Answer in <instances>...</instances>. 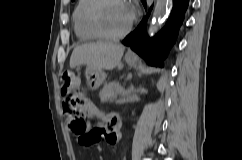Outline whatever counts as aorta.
I'll return each instance as SVG.
<instances>
[{
    "label": "aorta",
    "instance_id": "762f6f07",
    "mask_svg": "<svg viewBox=\"0 0 242 160\" xmlns=\"http://www.w3.org/2000/svg\"><path fill=\"white\" fill-rule=\"evenodd\" d=\"M171 6L172 0H156L153 17L149 28L151 33L157 30Z\"/></svg>",
    "mask_w": 242,
    "mask_h": 160
}]
</instances>
